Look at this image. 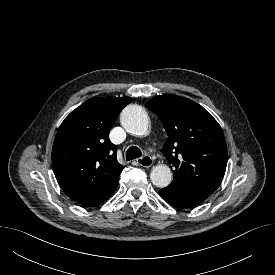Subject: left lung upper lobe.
I'll return each instance as SVG.
<instances>
[{"mask_svg":"<svg viewBox=\"0 0 275 275\" xmlns=\"http://www.w3.org/2000/svg\"><path fill=\"white\" fill-rule=\"evenodd\" d=\"M168 135L161 150L173 168L169 186H191L213 193L224 177L228 153L218 122L202 106L177 95L156 96L146 103Z\"/></svg>","mask_w":275,"mask_h":275,"instance_id":"1","label":"left lung upper lobe"}]
</instances>
